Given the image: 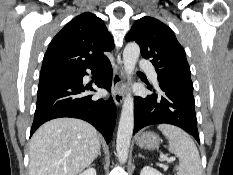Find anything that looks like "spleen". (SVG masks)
<instances>
[{"label": "spleen", "instance_id": "1", "mask_svg": "<svg viewBox=\"0 0 233 175\" xmlns=\"http://www.w3.org/2000/svg\"><path fill=\"white\" fill-rule=\"evenodd\" d=\"M158 129L168 139L169 151L179 158L176 175H202L201 160L192 138L181 128L160 124Z\"/></svg>", "mask_w": 233, "mask_h": 175}]
</instances>
